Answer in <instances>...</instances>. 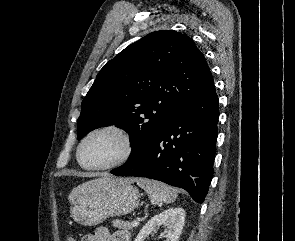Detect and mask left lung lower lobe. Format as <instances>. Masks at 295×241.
<instances>
[{"label": "left lung lower lobe", "instance_id": "left-lung-lower-lobe-1", "mask_svg": "<svg viewBox=\"0 0 295 241\" xmlns=\"http://www.w3.org/2000/svg\"><path fill=\"white\" fill-rule=\"evenodd\" d=\"M218 105L213 87L176 112L136 157L111 173L159 180L185 189L194 201L201 203L213 175Z\"/></svg>", "mask_w": 295, "mask_h": 241}]
</instances>
